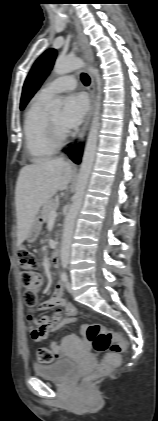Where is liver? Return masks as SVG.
Listing matches in <instances>:
<instances>
[{"mask_svg":"<svg viewBox=\"0 0 158 421\" xmlns=\"http://www.w3.org/2000/svg\"><path fill=\"white\" fill-rule=\"evenodd\" d=\"M72 166L62 158L24 166L16 183L17 243L20 245L41 206L57 191L66 190L72 179Z\"/></svg>","mask_w":158,"mask_h":421,"instance_id":"obj_1","label":"liver"}]
</instances>
